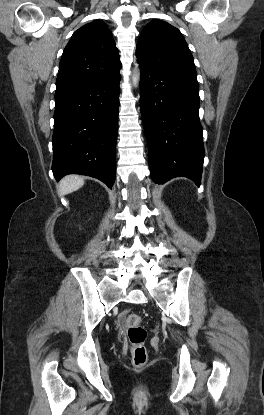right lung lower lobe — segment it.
Wrapping results in <instances>:
<instances>
[{
	"mask_svg": "<svg viewBox=\"0 0 264 415\" xmlns=\"http://www.w3.org/2000/svg\"><path fill=\"white\" fill-rule=\"evenodd\" d=\"M120 74L55 93L54 177H95L111 188L116 174Z\"/></svg>",
	"mask_w": 264,
	"mask_h": 415,
	"instance_id": "1",
	"label": "right lung lower lobe"
}]
</instances>
